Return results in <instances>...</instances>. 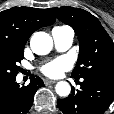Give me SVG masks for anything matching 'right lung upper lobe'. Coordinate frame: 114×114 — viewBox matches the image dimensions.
<instances>
[{"label":"right lung upper lobe","instance_id":"obj_1","mask_svg":"<svg viewBox=\"0 0 114 114\" xmlns=\"http://www.w3.org/2000/svg\"><path fill=\"white\" fill-rule=\"evenodd\" d=\"M55 18L47 9L13 7L0 12V45L24 48L37 29L52 25Z\"/></svg>","mask_w":114,"mask_h":114}]
</instances>
